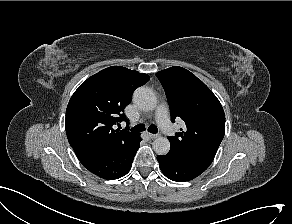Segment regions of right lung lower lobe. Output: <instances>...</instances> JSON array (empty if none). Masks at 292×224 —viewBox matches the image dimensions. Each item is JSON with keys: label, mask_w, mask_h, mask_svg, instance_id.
Here are the masks:
<instances>
[{"label": "right lung lower lobe", "mask_w": 292, "mask_h": 224, "mask_svg": "<svg viewBox=\"0 0 292 224\" xmlns=\"http://www.w3.org/2000/svg\"><path fill=\"white\" fill-rule=\"evenodd\" d=\"M139 136L130 144L110 147H73L79 161L93 174L104 179H118L129 172L141 142Z\"/></svg>", "instance_id": "1"}]
</instances>
